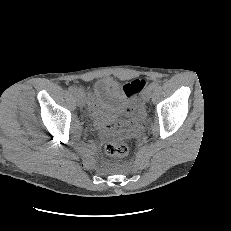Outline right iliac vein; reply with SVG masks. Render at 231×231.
<instances>
[{"label":"right iliac vein","instance_id":"63e3f726","mask_svg":"<svg viewBox=\"0 0 231 231\" xmlns=\"http://www.w3.org/2000/svg\"><path fill=\"white\" fill-rule=\"evenodd\" d=\"M74 96H75V99L77 101V104L78 105H83V92L79 89H76L75 92H74Z\"/></svg>","mask_w":231,"mask_h":231}]
</instances>
